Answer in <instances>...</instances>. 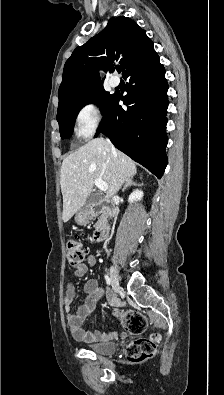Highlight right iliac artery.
I'll list each match as a JSON object with an SVG mask.
<instances>
[{"label": "right iliac artery", "mask_w": 224, "mask_h": 395, "mask_svg": "<svg viewBox=\"0 0 224 395\" xmlns=\"http://www.w3.org/2000/svg\"><path fill=\"white\" fill-rule=\"evenodd\" d=\"M105 280H106V283H107L109 286L112 285L111 279L109 278L108 275H105Z\"/></svg>", "instance_id": "right-iliac-artery-1"}]
</instances>
